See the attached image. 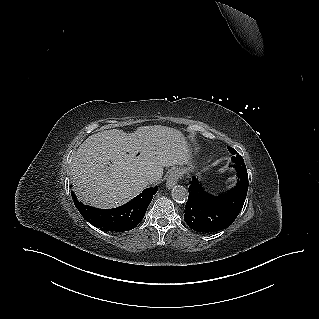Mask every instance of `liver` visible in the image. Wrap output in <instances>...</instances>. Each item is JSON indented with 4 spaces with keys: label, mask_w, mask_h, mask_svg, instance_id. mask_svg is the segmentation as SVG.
I'll return each mask as SVG.
<instances>
[{
    "label": "liver",
    "mask_w": 319,
    "mask_h": 319,
    "mask_svg": "<svg viewBox=\"0 0 319 319\" xmlns=\"http://www.w3.org/2000/svg\"><path fill=\"white\" fill-rule=\"evenodd\" d=\"M184 135L167 126H142L133 133L104 130L89 136L71 163L74 191L85 204L122 205L146 188L148 175L161 180L163 167L189 162Z\"/></svg>",
    "instance_id": "1"
}]
</instances>
